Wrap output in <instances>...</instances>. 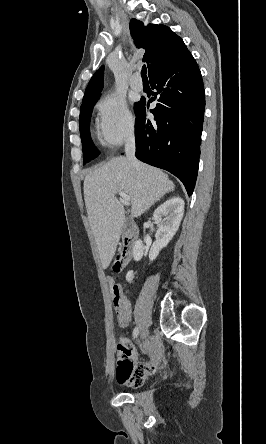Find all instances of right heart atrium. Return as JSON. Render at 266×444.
I'll use <instances>...</instances> for the list:
<instances>
[{"mask_svg": "<svg viewBox=\"0 0 266 444\" xmlns=\"http://www.w3.org/2000/svg\"><path fill=\"white\" fill-rule=\"evenodd\" d=\"M98 130L101 141L119 147L134 133V118L126 103L115 94H106L97 103Z\"/></svg>", "mask_w": 266, "mask_h": 444, "instance_id": "right-heart-atrium-1", "label": "right heart atrium"}]
</instances>
